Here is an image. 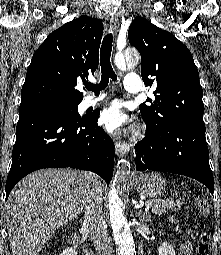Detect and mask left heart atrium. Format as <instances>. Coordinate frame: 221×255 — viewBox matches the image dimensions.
<instances>
[{
    "instance_id": "39dd6f15",
    "label": "left heart atrium",
    "mask_w": 221,
    "mask_h": 255,
    "mask_svg": "<svg viewBox=\"0 0 221 255\" xmlns=\"http://www.w3.org/2000/svg\"><path fill=\"white\" fill-rule=\"evenodd\" d=\"M100 120L108 131L113 132L126 123L127 115L122 110L121 104L114 101L103 110Z\"/></svg>"
}]
</instances>
